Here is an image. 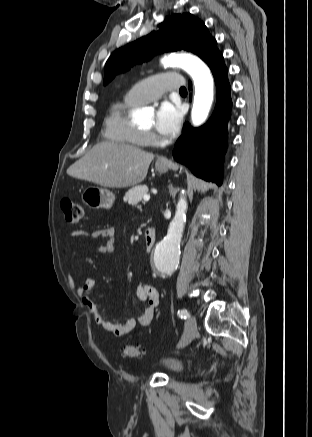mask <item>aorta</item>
I'll return each instance as SVG.
<instances>
[{"instance_id":"aorta-1","label":"aorta","mask_w":312,"mask_h":437,"mask_svg":"<svg viewBox=\"0 0 312 437\" xmlns=\"http://www.w3.org/2000/svg\"><path fill=\"white\" fill-rule=\"evenodd\" d=\"M165 67H181L193 79L195 96L191 112L194 126L203 124L213 102V78L209 68L199 58L189 54H171L162 59ZM187 202L181 196L166 237L157 244L154 253L155 266L159 273L169 274L178 266L180 241L186 222Z\"/></svg>"}]
</instances>
